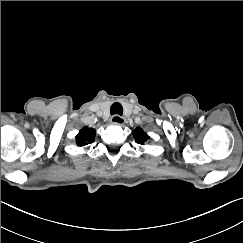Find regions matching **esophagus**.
I'll list each match as a JSON object with an SVG mask.
<instances>
[{
	"instance_id": "obj_1",
	"label": "esophagus",
	"mask_w": 243,
	"mask_h": 243,
	"mask_svg": "<svg viewBox=\"0 0 243 243\" xmlns=\"http://www.w3.org/2000/svg\"><path fill=\"white\" fill-rule=\"evenodd\" d=\"M111 122L113 124L123 125L125 123V119L119 115H114L111 117Z\"/></svg>"
}]
</instances>
